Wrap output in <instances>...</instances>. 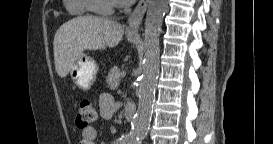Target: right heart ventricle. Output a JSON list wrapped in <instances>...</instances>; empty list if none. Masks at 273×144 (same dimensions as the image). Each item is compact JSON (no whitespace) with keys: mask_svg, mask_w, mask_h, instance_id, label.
<instances>
[{"mask_svg":"<svg viewBox=\"0 0 273 144\" xmlns=\"http://www.w3.org/2000/svg\"><path fill=\"white\" fill-rule=\"evenodd\" d=\"M88 1L89 0H64V7L71 16H83L89 11Z\"/></svg>","mask_w":273,"mask_h":144,"instance_id":"1","label":"right heart ventricle"}]
</instances>
